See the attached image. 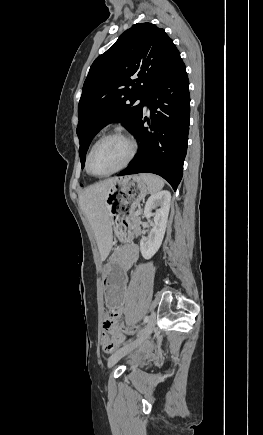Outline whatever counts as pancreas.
<instances>
[{"instance_id":"obj_1","label":"pancreas","mask_w":263,"mask_h":435,"mask_svg":"<svg viewBox=\"0 0 263 435\" xmlns=\"http://www.w3.org/2000/svg\"><path fill=\"white\" fill-rule=\"evenodd\" d=\"M128 228L129 232L138 234L139 233V225H140V217L139 214L132 211L128 216Z\"/></svg>"}]
</instances>
